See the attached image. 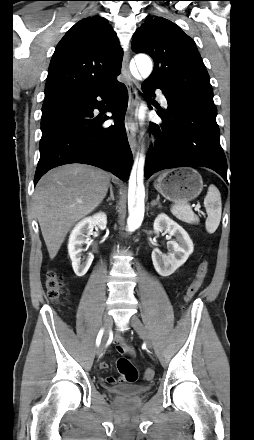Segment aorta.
Masks as SVG:
<instances>
[{
  "label": "aorta",
  "mask_w": 254,
  "mask_h": 440,
  "mask_svg": "<svg viewBox=\"0 0 254 440\" xmlns=\"http://www.w3.org/2000/svg\"><path fill=\"white\" fill-rule=\"evenodd\" d=\"M136 66L140 75L143 78L149 77L152 72L153 64L151 59L144 54L135 56ZM146 106L142 105L140 108V118L143 120L145 116ZM144 165L145 157L143 153L140 154L139 160L136 161L132 169L129 179L128 191V211L127 228L129 232L135 231L140 227L145 212V187H144Z\"/></svg>",
  "instance_id": "762f6f07"
}]
</instances>
